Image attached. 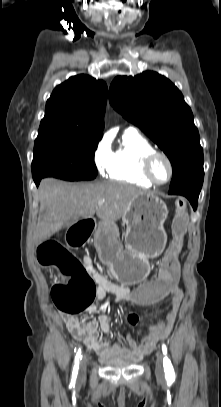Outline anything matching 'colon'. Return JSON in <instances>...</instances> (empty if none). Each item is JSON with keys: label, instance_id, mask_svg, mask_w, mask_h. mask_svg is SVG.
Listing matches in <instances>:
<instances>
[{"label": "colon", "instance_id": "colon-1", "mask_svg": "<svg viewBox=\"0 0 221 407\" xmlns=\"http://www.w3.org/2000/svg\"><path fill=\"white\" fill-rule=\"evenodd\" d=\"M172 222V241L159 264L157 277H148L147 283H133L132 298L135 306L145 310L148 306H158L160 300H166V292H175L181 280L180 267L184 236L187 230L186 201L178 199ZM93 216H78L73 225L67 227L68 249L85 246V239H93ZM55 240L42 243L37 251L38 262L45 267L56 266L62 275L63 282L51 288L52 299L57 308L67 315H77L87 309L96 293V285L86 268L73 254Z\"/></svg>", "mask_w": 221, "mask_h": 407}]
</instances>
